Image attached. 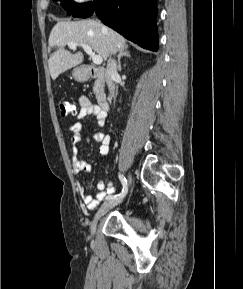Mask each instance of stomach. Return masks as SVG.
<instances>
[{"label": "stomach", "instance_id": "1", "mask_svg": "<svg viewBox=\"0 0 243 289\" xmlns=\"http://www.w3.org/2000/svg\"><path fill=\"white\" fill-rule=\"evenodd\" d=\"M72 75L75 80L80 81V82L86 81L88 78L86 71L83 68H79V67L73 70Z\"/></svg>", "mask_w": 243, "mask_h": 289}]
</instances>
